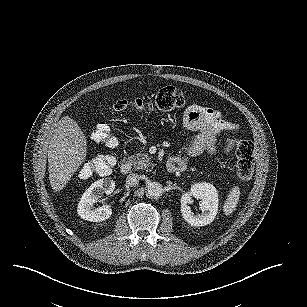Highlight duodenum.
<instances>
[{
  "instance_id": "duodenum-1",
  "label": "duodenum",
  "mask_w": 307,
  "mask_h": 307,
  "mask_svg": "<svg viewBox=\"0 0 307 307\" xmlns=\"http://www.w3.org/2000/svg\"><path fill=\"white\" fill-rule=\"evenodd\" d=\"M132 170V164L130 161H124L120 166V171L122 174H129ZM167 170L171 173L180 172L184 170V165L174 158L167 161Z\"/></svg>"
}]
</instances>
